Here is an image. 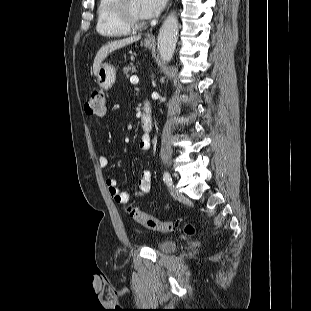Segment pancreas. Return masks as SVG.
Listing matches in <instances>:
<instances>
[{
  "instance_id": "pancreas-1",
  "label": "pancreas",
  "mask_w": 311,
  "mask_h": 311,
  "mask_svg": "<svg viewBox=\"0 0 311 311\" xmlns=\"http://www.w3.org/2000/svg\"><path fill=\"white\" fill-rule=\"evenodd\" d=\"M136 72V67L133 66V64H130L126 67L123 68V73L126 75V76H129L130 73H134Z\"/></svg>"
}]
</instances>
